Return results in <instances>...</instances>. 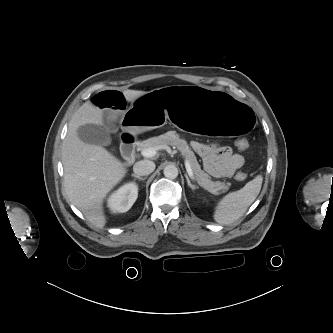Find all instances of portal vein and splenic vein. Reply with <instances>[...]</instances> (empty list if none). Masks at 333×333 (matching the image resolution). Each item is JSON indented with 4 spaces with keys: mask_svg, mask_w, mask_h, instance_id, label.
Segmentation results:
<instances>
[{
    "mask_svg": "<svg viewBox=\"0 0 333 333\" xmlns=\"http://www.w3.org/2000/svg\"><path fill=\"white\" fill-rule=\"evenodd\" d=\"M157 150H158V148L149 147V148H146V149L142 150L141 154H142V156L149 158V157L155 156ZM185 168H186V171H187L188 175L192 179H195L193 170H192L191 165H190V163L187 159H185Z\"/></svg>",
    "mask_w": 333,
    "mask_h": 333,
    "instance_id": "18ae733b",
    "label": "portal vein and splenic vein"
}]
</instances>
